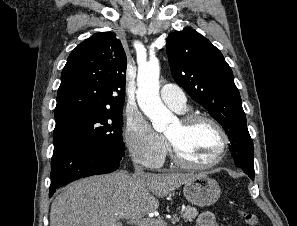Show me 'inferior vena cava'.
I'll return each mask as SVG.
<instances>
[{
	"instance_id": "1",
	"label": "inferior vena cava",
	"mask_w": 297,
	"mask_h": 226,
	"mask_svg": "<svg viewBox=\"0 0 297 226\" xmlns=\"http://www.w3.org/2000/svg\"><path fill=\"white\" fill-rule=\"evenodd\" d=\"M134 169H135V172H134V176H142L144 175V169L143 167H141L140 165H137L134 163Z\"/></svg>"
}]
</instances>
